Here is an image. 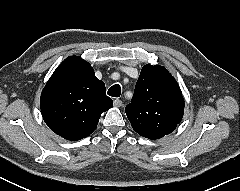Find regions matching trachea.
Masks as SVG:
<instances>
[{"instance_id":"3493384b","label":"trachea","mask_w":240,"mask_h":191,"mask_svg":"<svg viewBox=\"0 0 240 191\" xmlns=\"http://www.w3.org/2000/svg\"><path fill=\"white\" fill-rule=\"evenodd\" d=\"M108 95L111 97H119L121 95V87L119 84L113 85L109 90H108Z\"/></svg>"}]
</instances>
